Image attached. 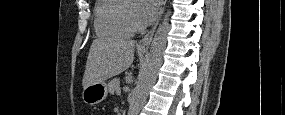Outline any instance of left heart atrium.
<instances>
[{
    "label": "left heart atrium",
    "mask_w": 285,
    "mask_h": 115,
    "mask_svg": "<svg viewBox=\"0 0 285 115\" xmlns=\"http://www.w3.org/2000/svg\"><path fill=\"white\" fill-rule=\"evenodd\" d=\"M159 0H139L137 19L142 24L151 22L157 14Z\"/></svg>",
    "instance_id": "39dd6f15"
}]
</instances>
